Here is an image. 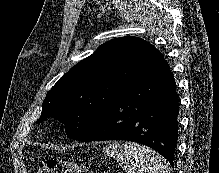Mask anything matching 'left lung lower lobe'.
Returning a JSON list of instances; mask_svg holds the SVG:
<instances>
[{
  "mask_svg": "<svg viewBox=\"0 0 219 173\" xmlns=\"http://www.w3.org/2000/svg\"><path fill=\"white\" fill-rule=\"evenodd\" d=\"M178 94L163 55L156 50L138 80L114 100L77 140H129L149 146L171 165L178 138Z\"/></svg>",
  "mask_w": 219,
  "mask_h": 173,
  "instance_id": "0a47b994",
  "label": "left lung lower lobe"
}]
</instances>
